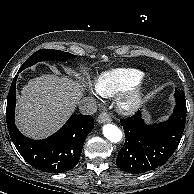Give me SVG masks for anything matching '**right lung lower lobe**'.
Masks as SVG:
<instances>
[{
  "label": "right lung lower lobe",
  "mask_w": 194,
  "mask_h": 194,
  "mask_svg": "<svg viewBox=\"0 0 194 194\" xmlns=\"http://www.w3.org/2000/svg\"><path fill=\"white\" fill-rule=\"evenodd\" d=\"M16 79L17 76L8 93L6 110L7 127L15 147L29 164L41 171L62 173L73 169L79 161L84 141L94 127L93 118L90 115H72L59 131L47 139L26 138L14 123Z\"/></svg>",
  "instance_id": "98d812e1"
}]
</instances>
